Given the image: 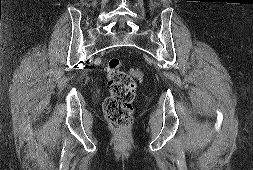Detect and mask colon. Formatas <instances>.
Returning <instances> with one entry per match:
<instances>
[{"label": "colon", "instance_id": "colon-1", "mask_svg": "<svg viewBox=\"0 0 253 170\" xmlns=\"http://www.w3.org/2000/svg\"><path fill=\"white\" fill-rule=\"evenodd\" d=\"M120 59L112 58L107 66V84L110 95L104 101V113L108 123L116 131H124L132 121V103L135 98V78L141 76V71L130 72L122 70Z\"/></svg>", "mask_w": 253, "mask_h": 170}]
</instances>
